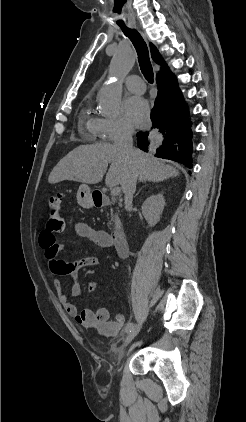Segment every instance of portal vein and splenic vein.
<instances>
[{"label":"portal vein and splenic vein","mask_w":246,"mask_h":422,"mask_svg":"<svg viewBox=\"0 0 246 422\" xmlns=\"http://www.w3.org/2000/svg\"><path fill=\"white\" fill-rule=\"evenodd\" d=\"M120 192H121L120 187H115L111 190V195L112 196H118L120 194Z\"/></svg>","instance_id":"portal-vein-and-splenic-vein-1"}]
</instances>
